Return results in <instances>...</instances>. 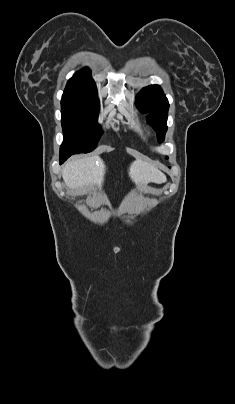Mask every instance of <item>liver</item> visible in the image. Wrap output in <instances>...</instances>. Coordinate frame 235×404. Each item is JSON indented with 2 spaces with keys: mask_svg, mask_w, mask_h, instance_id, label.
Returning a JSON list of instances; mask_svg holds the SVG:
<instances>
[{
  "mask_svg": "<svg viewBox=\"0 0 235 404\" xmlns=\"http://www.w3.org/2000/svg\"><path fill=\"white\" fill-rule=\"evenodd\" d=\"M104 174L105 164L99 156L71 160L62 170L65 184L79 192L89 186L101 188ZM129 176L137 186L166 181V176L158 168L140 159H136L130 165Z\"/></svg>",
  "mask_w": 235,
  "mask_h": 404,
  "instance_id": "6515ba94",
  "label": "liver"
}]
</instances>
